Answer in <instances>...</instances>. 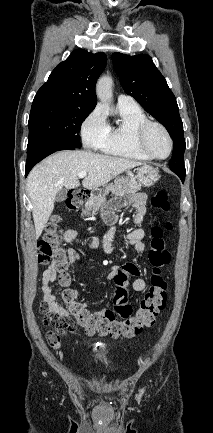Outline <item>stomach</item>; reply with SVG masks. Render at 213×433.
<instances>
[{"mask_svg": "<svg viewBox=\"0 0 213 433\" xmlns=\"http://www.w3.org/2000/svg\"><path fill=\"white\" fill-rule=\"evenodd\" d=\"M158 179V171L149 165H143L137 169V180L140 186L151 187L158 181ZM97 196L98 194H94L91 199H95Z\"/></svg>", "mask_w": 213, "mask_h": 433, "instance_id": "stomach-1", "label": "stomach"}]
</instances>
